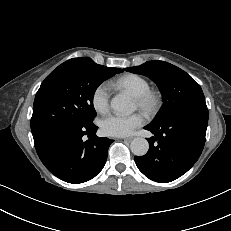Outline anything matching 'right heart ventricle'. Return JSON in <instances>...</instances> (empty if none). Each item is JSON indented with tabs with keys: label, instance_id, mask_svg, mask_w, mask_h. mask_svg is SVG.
<instances>
[{
	"label": "right heart ventricle",
	"instance_id": "right-heart-ventricle-1",
	"mask_svg": "<svg viewBox=\"0 0 231 231\" xmlns=\"http://www.w3.org/2000/svg\"><path fill=\"white\" fill-rule=\"evenodd\" d=\"M110 85L115 89L128 91L133 96L140 95L150 89L149 81L135 73L124 74L113 80Z\"/></svg>",
	"mask_w": 231,
	"mask_h": 231
}]
</instances>
